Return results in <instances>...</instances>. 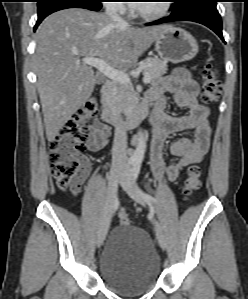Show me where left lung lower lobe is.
I'll return each mask as SVG.
<instances>
[{
	"label": "left lung lower lobe",
	"instance_id": "obj_1",
	"mask_svg": "<svg viewBox=\"0 0 248 299\" xmlns=\"http://www.w3.org/2000/svg\"><path fill=\"white\" fill-rule=\"evenodd\" d=\"M218 0H188L181 5V0H175V4L171 7L172 13L166 18L148 23V25H156L177 20L193 21L203 24L213 30L223 42L222 21L220 14L216 9Z\"/></svg>",
	"mask_w": 248,
	"mask_h": 299
}]
</instances>
